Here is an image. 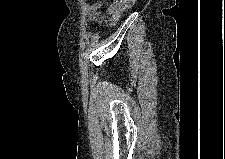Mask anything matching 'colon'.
<instances>
[{
  "mask_svg": "<svg viewBox=\"0 0 225 159\" xmlns=\"http://www.w3.org/2000/svg\"><path fill=\"white\" fill-rule=\"evenodd\" d=\"M130 4V0H117L115 1L114 9L116 12L126 9Z\"/></svg>",
  "mask_w": 225,
  "mask_h": 159,
  "instance_id": "colon-1",
  "label": "colon"
}]
</instances>
